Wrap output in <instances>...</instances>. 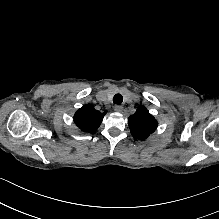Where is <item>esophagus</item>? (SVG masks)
Instances as JSON below:
<instances>
[{
    "instance_id": "obj_1",
    "label": "esophagus",
    "mask_w": 219,
    "mask_h": 219,
    "mask_svg": "<svg viewBox=\"0 0 219 219\" xmlns=\"http://www.w3.org/2000/svg\"><path fill=\"white\" fill-rule=\"evenodd\" d=\"M115 111H117V112H122V111H123V107L117 105V106H115Z\"/></svg>"
}]
</instances>
